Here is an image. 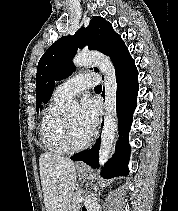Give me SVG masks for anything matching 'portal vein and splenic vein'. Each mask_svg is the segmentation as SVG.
I'll return each mask as SVG.
<instances>
[{"label": "portal vein and splenic vein", "instance_id": "18ae733b", "mask_svg": "<svg viewBox=\"0 0 178 211\" xmlns=\"http://www.w3.org/2000/svg\"><path fill=\"white\" fill-rule=\"evenodd\" d=\"M83 200H84V198L81 197V198L77 199V202L76 203L78 204V203L82 202Z\"/></svg>", "mask_w": 178, "mask_h": 211}]
</instances>
